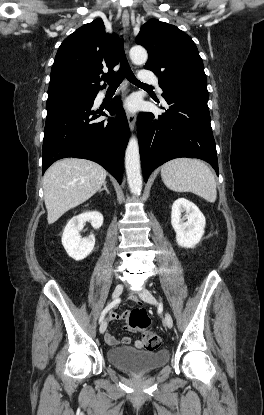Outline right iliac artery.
Masks as SVG:
<instances>
[{
	"instance_id": "right-iliac-artery-1",
	"label": "right iliac artery",
	"mask_w": 264,
	"mask_h": 415,
	"mask_svg": "<svg viewBox=\"0 0 264 415\" xmlns=\"http://www.w3.org/2000/svg\"><path fill=\"white\" fill-rule=\"evenodd\" d=\"M120 301V299H116V300H114L113 302H111L110 304H108L106 307H105V309L102 311V313H101V315H100V318H99V322H102L103 321V319H104V317H105V315L107 314V312L111 309V308H113L118 302Z\"/></svg>"
}]
</instances>
